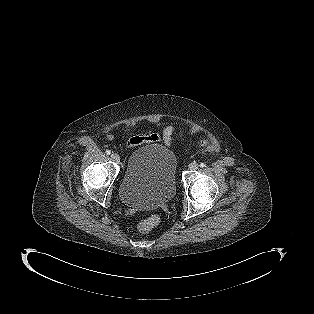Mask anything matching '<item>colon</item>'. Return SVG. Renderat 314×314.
I'll use <instances>...</instances> for the list:
<instances>
[{
  "instance_id": "1",
  "label": "colon",
  "mask_w": 314,
  "mask_h": 314,
  "mask_svg": "<svg viewBox=\"0 0 314 314\" xmlns=\"http://www.w3.org/2000/svg\"><path fill=\"white\" fill-rule=\"evenodd\" d=\"M160 222L158 216H150L144 218L139 223V230L143 233H148L152 231Z\"/></svg>"
}]
</instances>
